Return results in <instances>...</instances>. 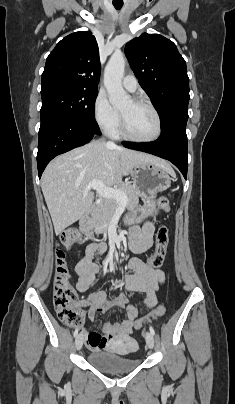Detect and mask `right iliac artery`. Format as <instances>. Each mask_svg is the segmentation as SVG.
Here are the masks:
<instances>
[{"label": "right iliac artery", "mask_w": 235, "mask_h": 404, "mask_svg": "<svg viewBox=\"0 0 235 404\" xmlns=\"http://www.w3.org/2000/svg\"><path fill=\"white\" fill-rule=\"evenodd\" d=\"M78 331H79V329L77 328L75 331H74V337H76L77 335H78Z\"/></svg>", "instance_id": "obj_1"}]
</instances>
